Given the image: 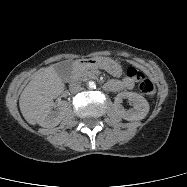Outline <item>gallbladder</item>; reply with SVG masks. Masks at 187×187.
Returning <instances> with one entry per match:
<instances>
[{
  "instance_id": "obj_1",
  "label": "gallbladder",
  "mask_w": 187,
  "mask_h": 187,
  "mask_svg": "<svg viewBox=\"0 0 187 187\" xmlns=\"http://www.w3.org/2000/svg\"><path fill=\"white\" fill-rule=\"evenodd\" d=\"M56 72L61 77V79L65 80L69 77L72 69L71 61H63L59 62L54 66Z\"/></svg>"
}]
</instances>
